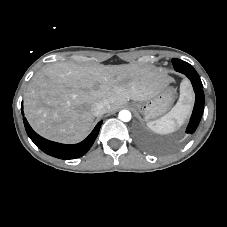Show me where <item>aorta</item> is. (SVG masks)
Listing matches in <instances>:
<instances>
[{"mask_svg": "<svg viewBox=\"0 0 227 227\" xmlns=\"http://www.w3.org/2000/svg\"><path fill=\"white\" fill-rule=\"evenodd\" d=\"M118 117L123 122H128L131 120V112L128 110H121L118 114Z\"/></svg>", "mask_w": 227, "mask_h": 227, "instance_id": "762f6f07", "label": "aorta"}]
</instances>
